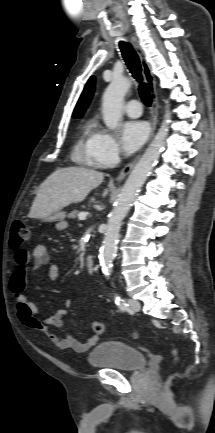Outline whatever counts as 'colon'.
Listing matches in <instances>:
<instances>
[{"instance_id": "colon-1", "label": "colon", "mask_w": 215, "mask_h": 433, "mask_svg": "<svg viewBox=\"0 0 215 433\" xmlns=\"http://www.w3.org/2000/svg\"><path fill=\"white\" fill-rule=\"evenodd\" d=\"M31 238V232L29 227L21 222V221H15L12 225L11 230V239H10V245L12 248L16 249L27 242H29ZM93 331L98 334L102 335L105 332L104 324L101 322H93L92 323ZM172 356L174 359H176V352L172 351Z\"/></svg>"}]
</instances>
